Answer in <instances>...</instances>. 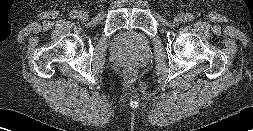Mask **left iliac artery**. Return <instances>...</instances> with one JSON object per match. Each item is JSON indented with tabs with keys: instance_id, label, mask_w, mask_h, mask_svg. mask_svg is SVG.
Segmentation results:
<instances>
[{
	"instance_id": "left-iliac-artery-1",
	"label": "left iliac artery",
	"mask_w": 253,
	"mask_h": 131,
	"mask_svg": "<svg viewBox=\"0 0 253 131\" xmlns=\"http://www.w3.org/2000/svg\"><path fill=\"white\" fill-rule=\"evenodd\" d=\"M194 19V15L192 13H187L185 16L186 21H191Z\"/></svg>"
}]
</instances>
